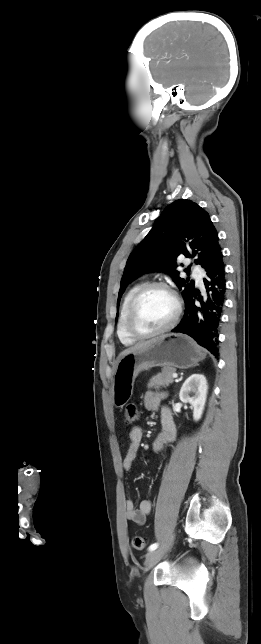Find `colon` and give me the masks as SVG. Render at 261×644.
<instances>
[{
    "label": "colon",
    "mask_w": 261,
    "mask_h": 644,
    "mask_svg": "<svg viewBox=\"0 0 261 644\" xmlns=\"http://www.w3.org/2000/svg\"><path fill=\"white\" fill-rule=\"evenodd\" d=\"M140 417V412L136 404L130 403L125 409V423L127 425H134L137 423ZM132 545L137 550H142L145 548L146 541L140 535H135L132 538Z\"/></svg>",
    "instance_id": "obj_1"
}]
</instances>
